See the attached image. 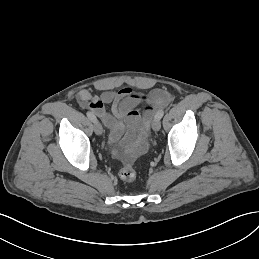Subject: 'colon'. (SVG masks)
Wrapping results in <instances>:
<instances>
[{
	"label": "colon",
	"instance_id": "colon-1",
	"mask_svg": "<svg viewBox=\"0 0 259 259\" xmlns=\"http://www.w3.org/2000/svg\"><path fill=\"white\" fill-rule=\"evenodd\" d=\"M119 178L125 182H131L136 178V171L132 165H126L119 171Z\"/></svg>",
	"mask_w": 259,
	"mask_h": 259
}]
</instances>
